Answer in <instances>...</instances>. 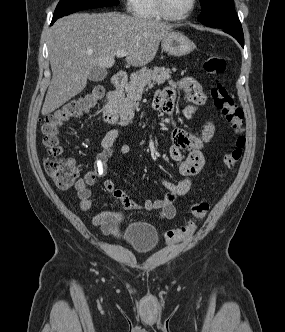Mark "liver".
<instances>
[{
  "label": "liver",
  "mask_w": 285,
  "mask_h": 332,
  "mask_svg": "<svg viewBox=\"0 0 285 332\" xmlns=\"http://www.w3.org/2000/svg\"><path fill=\"white\" fill-rule=\"evenodd\" d=\"M172 25L117 12L75 13L60 18L50 31L52 79L42 107L48 115L86 87L94 67L111 68L119 50L134 67L150 63Z\"/></svg>",
  "instance_id": "obj_1"
}]
</instances>
